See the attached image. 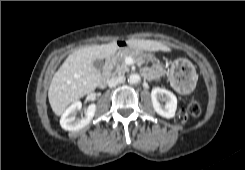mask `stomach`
Wrapping results in <instances>:
<instances>
[{
    "label": "stomach",
    "mask_w": 245,
    "mask_h": 170,
    "mask_svg": "<svg viewBox=\"0 0 245 170\" xmlns=\"http://www.w3.org/2000/svg\"><path fill=\"white\" fill-rule=\"evenodd\" d=\"M124 50L137 51L136 49H130V48H127V47H120V49H119V51H124ZM143 55L149 61H153L154 60V57H153V55L151 53H145ZM182 65H184V64L182 62L179 63V61H176L175 63H173V66L171 68V75L173 76V74L175 73V69L179 68ZM187 67H188V75L191 78V81H190V83L188 85L187 84L181 85V88H182V90L184 92H190L191 90H193V88L195 86V82H196L195 78H194L195 72H194V69H193L192 65L187 63Z\"/></svg>",
    "instance_id": "obj_1"
}]
</instances>
